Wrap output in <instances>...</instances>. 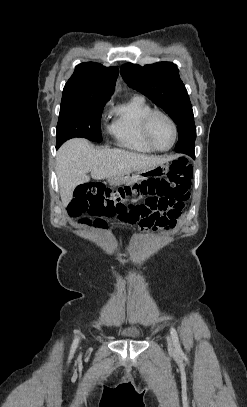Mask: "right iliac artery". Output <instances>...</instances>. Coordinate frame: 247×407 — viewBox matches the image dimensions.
<instances>
[{"label": "right iliac artery", "instance_id": "right-iliac-artery-1", "mask_svg": "<svg viewBox=\"0 0 247 407\" xmlns=\"http://www.w3.org/2000/svg\"><path fill=\"white\" fill-rule=\"evenodd\" d=\"M79 343V338H75L71 347V352L73 353L75 351V349L77 348Z\"/></svg>", "mask_w": 247, "mask_h": 407}]
</instances>
